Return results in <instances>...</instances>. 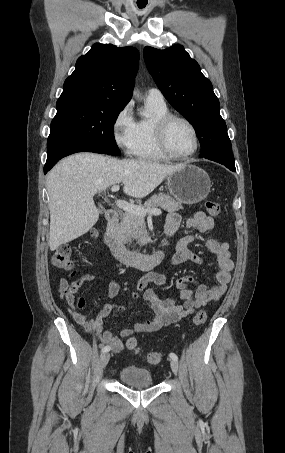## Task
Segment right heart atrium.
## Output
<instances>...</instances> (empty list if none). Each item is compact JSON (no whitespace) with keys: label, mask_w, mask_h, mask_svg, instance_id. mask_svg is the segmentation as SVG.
Returning <instances> with one entry per match:
<instances>
[{"label":"right heart atrium","mask_w":285,"mask_h":453,"mask_svg":"<svg viewBox=\"0 0 285 453\" xmlns=\"http://www.w3.org/2000/svg\"><path fill=\"white\" fill-rule=\"evenodd\" d=\"M134 126L135 120L132 109L131 106L127 104L118 112L112 124L114 141L117 146L127 154L131 153Z\"/></svg>","instance_id":"right-heart-atrium-1"}]
</instances>
